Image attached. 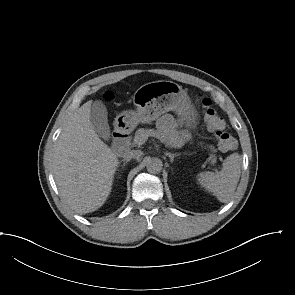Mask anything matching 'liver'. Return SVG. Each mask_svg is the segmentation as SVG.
Here are the masks:
<instances>
[{
  "label": "liver",
  "instance_id": "liver-1",
  "mask_svg": "<svg viewBox=\"0 0 295 295\" xmlns=\"http://www.w3.org/2000/svg\"><path fill=\"white\" fill-rule=\"evenodd\" d=\"M91 106L92 100L87 101L69 118L52 156L59 194L81 215L94 212L105 203L119 163L92 125Z\"/></svg>",
  "mask_w": 295,
  "mask_h": 295
}]
</instances>
